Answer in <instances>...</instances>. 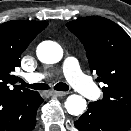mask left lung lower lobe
<instances>
[{"mask_svg":"<svg viewBox=\"0 0 131 131\" xmlns=\"http://www.w3.org/2000/svg\"><path fill=\"white\" fill-rule=\"evenodd\" d=\"M79 131H128L117 124L110 116L95 108L91 103L88 110L74 122Z\"/></svg>","mask_w":131,"mask_h":131,"instance_id":"1","label":"left lung lower lobe"}]
</instances>
